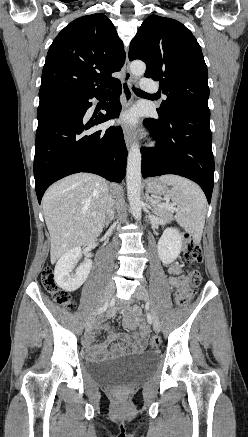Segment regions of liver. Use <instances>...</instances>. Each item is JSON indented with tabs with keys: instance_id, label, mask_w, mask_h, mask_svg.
<instances>
[{
	"instance_id": "liver-1",
	"label": "liver",
	"mask_w": 248,
	"mask_h": 437,
	"mask_svg": "<svg viewBox=\"0 0 248 437\" xmlns=\"http://www.w3.org/2000/svg\"><path fill=\"white\" fill-rule=\"evenodd\" d=\"M108 198L106 180L88 173L68 176L46 191L42 206L51 238V263L97 239L104 228Z\"/></svg>"
}]
</instances>
